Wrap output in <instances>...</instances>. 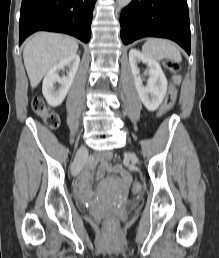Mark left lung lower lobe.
<instances>
[{
  "mask_svg": "<svg viewBox=\"0 0 219 258\" xmlns=\"http://www.w3.org/2000/svg\"><path fill=\"white\" fill-rule=\"evenodd\" d=\"M125 45L143 37L174 40L190 54L187 0H132L120 15Z\"/></svg>",
  "mask_w": 219,
  "mask_h": 258,
  "instance_id": "0a47b994",
  "label": "left lung lower lobe"
}]
</instances>
